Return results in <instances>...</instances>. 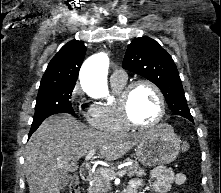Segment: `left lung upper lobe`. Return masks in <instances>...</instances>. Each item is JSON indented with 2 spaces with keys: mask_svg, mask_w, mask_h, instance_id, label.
Instances as JSON below:
<instances>
[{
  "mask_svg": "<svg viewBox=\"0 0 221 193\" xmlns=\"http://www.w3.org/2000/svg\"><path fill=\"white\" fill-rule=\"evenodd\" d=\"M122 66L157 85L172 112L189 120L193 119L177 67L157 41L147 36L133 39L127 48Z\"/></svg>",
  "mask_w": 221,
  "mask_h": 193,
  "instance_id": "left-lung-upper-lobe-1",
  "label": "left lung upper lobe"
}]
</instances>
